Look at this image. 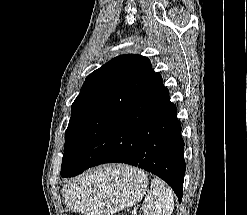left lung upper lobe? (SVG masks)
Here are the masks:
<instances>
[{"label":"left lung upper lobe","instance_id":"5c2ea615","mask_svg":"<svg viewBox=\"0 0 247 215\" xmlns=\"http://www.w3.org/2000/svg\"><path fill=\"white\" fill-rule=\"evenodd\" d=\"M154 75L147 57L127 54L87 76L71 106L61 170L75 161L83 143L107 133Z\"/></svg>","mask_w":247,"mask_h":215}]
</instances>
